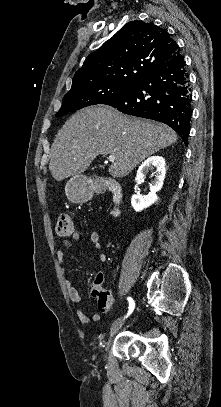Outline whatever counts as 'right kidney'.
Wrapping results in <instances>:
<instances>
[{
	"instance_id": "ca27d5eb",
	"label": "right kidney",
	"mask_w": 221,
	"mask_h": 407,
	"mask_svg": "<svg viewBox=\"0 0 221 407\" xmlns=\"http://www.w3.org/2000/svg\"><path fill=\"white\" fill-rule=\"evenodd\" d=\"M154 168H156L154 172V180L149 184L150 193L145 196L134 194L131 198L132 207L136 212H140L158 201L156 192L161 190L166 174L165 160L163 157L157 155L146 159L138 168L135 181L139 182L143 180L145 173Z\"/></svg>"
}]
</instances>
